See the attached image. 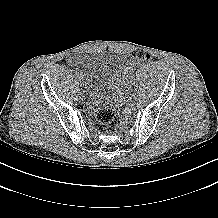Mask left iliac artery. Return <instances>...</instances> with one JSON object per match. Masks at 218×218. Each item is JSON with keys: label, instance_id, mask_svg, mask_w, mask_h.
<instances>
[{"label": "left iliac artery", "instance_id": "44dca946", "mask_svg": "<svg viewBox=\"0 0 218 218\" xmlns=\"http://www.w3.org/2000/svg\"><path fill=\"white\" fill-rule=\"evenodd\" d=\"M134 90H135V88L133 87V88L129 91L130 93H129L128 95H129L130 97L133 95V91H134Z\"/></svg>", "mask_w": 218, "mask_h": 218}]
</instances>
